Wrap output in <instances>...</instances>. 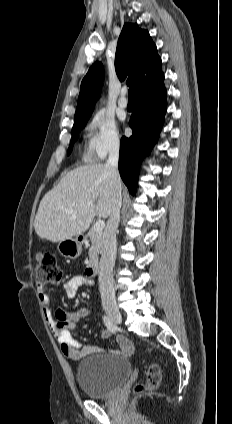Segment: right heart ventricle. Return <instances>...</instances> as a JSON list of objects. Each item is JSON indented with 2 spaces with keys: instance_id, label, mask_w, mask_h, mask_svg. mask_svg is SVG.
Segmentation results:
<instances>
[{
  "instance_id": "right-heart-ventricle-1",
  "label": "right heart ventricle",
  "mask_w": 232,
  "mask_h": 424,
  "mask_svg": "<svg viewBox=\"0 0 232 424\" xmlns=\"http://www.w3.org/2000/svg\"><path fill=\"white\" fill-rule=\"evenodd\" d=\"M85 159H89V157L87 155H85Z\"/></svg>"
}]
</instances>
